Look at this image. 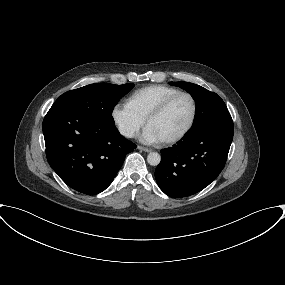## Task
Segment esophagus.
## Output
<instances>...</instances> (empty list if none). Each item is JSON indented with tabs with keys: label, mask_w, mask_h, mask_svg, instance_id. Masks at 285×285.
Instances as JSON below:
<instances>
[{
	"label": "esophagus",
	"mask_w": 285,
	"mask_h": 285,
	"mask_svg": "<svg viewBox=\"0 0 285 285\" xmlns=\"http://www.w3.org/2000/svg\"><path fill=\"white\" fill-rule=\"evenodd\" d=\"M137 148L141 151H144V152H151L152 150L147 148V147H143V146H137Z\"/></svg>",
	"instance_id": "1"
}]
</instances>
